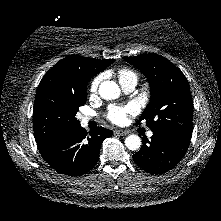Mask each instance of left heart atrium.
Segmentation results:
<instances>
[{"instance_id": "obj_1", "label": "left heart atrium", "mask_w": 221, "mask_h": 221, "mask_svg": "<svg viewBox=\"0 0 221 221\" xmlns=\"http://www.w3.org/2000/svg\"><path fill=\"white\" fill-rule=\"evenodd\" d=\"M137 108L134 104H127L124 106H111L107 113V118L115 124H122L127 120L129 115H134Z\"/></svg>"}]
</instances>
